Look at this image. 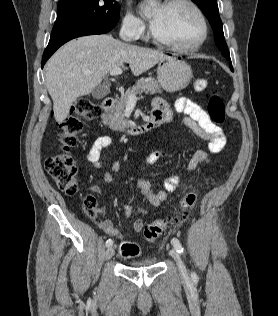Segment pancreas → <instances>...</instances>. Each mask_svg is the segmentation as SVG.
Returning <instances> with one entry per match:
<instances>
[{"instance_id": "1", "label": "pancreas", "mask_w": 278, "mask_h": 316, "mask_svg": "<svg viewBox=\"0 0 278 316\" xmlns=\"http://www.w3.org/2000/svg\"><path fill=\"white\" fill-rule=\"evenodd\" d=\"M162 93L161 87L153 78H140L124 95L116 100V106L104 116L106 123L114 131H124L129 123L124 117V110L130 95Z\"/></svg>"}]
</instances>
